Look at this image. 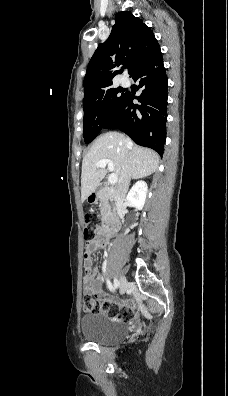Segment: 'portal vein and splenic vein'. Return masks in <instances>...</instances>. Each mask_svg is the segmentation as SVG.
<instances>
[{
  "mask_svg": "<svg viewBox=\"0 0 228 396\" xmlns=\"http://www.w3.org/2000/svg\"><path fill=\"white\" fill-rule=\"evenodd\" d=\"M107 165H108L109 171L112 172L113 169H114V164H113V162L111 160L103 159V160H100V161L97 162V167L98 168H104ZM117 181H118V176L115 173H111L109 175V177H108V182L110 184H116Z\"/></svg>",
  "mask_w": 228,
  "mask_h": 396,
  "instance_id": "18ae733b",
  "label": "portal vein and splenic vein"
}]
</instances>
